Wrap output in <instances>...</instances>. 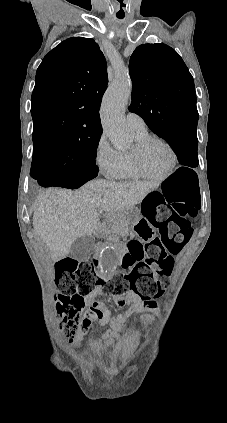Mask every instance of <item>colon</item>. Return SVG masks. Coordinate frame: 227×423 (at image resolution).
<instances>
[{
  "mask_svg": "<svg viewBox=\"0 0 227 423\" xmlns=\"http://www.w3.org/2000/svg\"><path fill=\"white\" fill-rule=\"evenodd\" d=\"M201 208L196 175L177 170L146 198V222L136 225L138 238L125 242L119 263L121 270L111 279L98 277L93 262L65 258L56 268L59 329L72 340L77 319L84 310V297L97 286L104 293L123 297L134 293L143 301L160 297L168 286L174 266L172 255L179 253L192 236V221ZM157 228L161 238H152ZM142 241H146L143 244Z\"/></svg>",
  "mask_w": 227,
  "mask_h": 423,
  "instance_id": "5ec220e1",
  "label": "colon"
}]
</instances>
